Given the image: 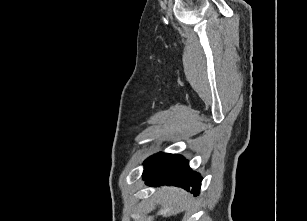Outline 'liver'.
I'll use <instances>...</instances> for the list:
<instances>
[{"label":"liver","instance_id":"liver-1","mask_svg":"<svg viewBox=\"0 0 307 221\" xmlns=\"http://www.w3.org/2000/svg\"><path fill=\"white\" fill-rule=\"evenodd\" d=\"M162 203L174 204L177 206H182L183 203L186 202V198L184 196V192L179 189H170L169 191L165 190V195L160 196Z\"/></svg>","mask_w":307,"mask_h":221}]
</instances>
